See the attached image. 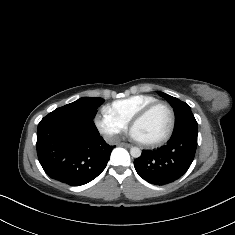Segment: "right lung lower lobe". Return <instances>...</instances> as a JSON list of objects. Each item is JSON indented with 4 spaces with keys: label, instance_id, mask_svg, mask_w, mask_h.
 <instances>
[{
    "label": "right lung lower lobe",
    "instance_id": "right-lung-lower-lobe-1",
    "mask_svg": "<svg viewBox=\"0 0 235 235\" xmlns=\"http://www.w3.org/2000/svg\"><path fill=\"white\" fill-rule=\"evenodd\" d=\"M114 147L100 136L92 119L74 112L56 109L38 125L36 148L42 168L71 186L96 178Z\"/></svg>",
    "mask_w": 235,
    "mask_h": 235
}]
</instances>
